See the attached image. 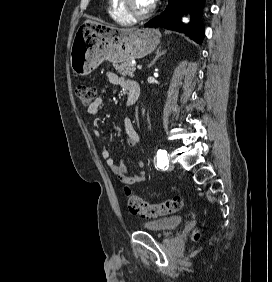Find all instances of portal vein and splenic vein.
Instances as JSON below:
<instances>
[{"instance_id":"18ae733b","label":"portal vein and splenic vein","mask_w":272,"mask_h":282,"mask_svg":"<svg viewBox=\"0 0 272 282\" xmlns=\"http://www.w3.org/2000/svg\"><path fill=\"white\" fill-rule=\"evenodd\" d=\"M137 69H142V66L141 65H137Z\"/></svg>"}]
</instances>
